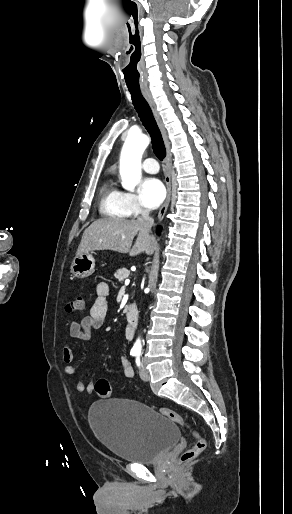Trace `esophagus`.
Instances as JSON below:
<instances>
[{"instance_id":"esophagus-1","label":"esophagus","mask_w":292,"mask_h":514,"mask_svg":"<svg viewBox=\"0 0 292 514\" xmlns=\"http://www.w3.org/2000/svg\"><path fill=\"white\" fill-rule=\"evenodd\" d=\"M142 92V95L144 96V98L147 100L152 112H153V115L155 117V120L157 122V125L158 127L160 128L161 130V133H162V136H163V140H164V143H165V147H166V169H165V184H166V188H167V197H166V200L164 201V204L162 205V207L160 208L159 212H158V219L159 220H162L163 217L165 216L166 214V211L168 209V206H169V203H170V197H171V162H172V154H171V151H170V143L168 141V138H167V135H166V132H165V129H164V126H163V123H162V120L160 118V115L157 111V108H156V105H155V102L151 96V93L149 90H141Z\"/></svg>"}]
</instances>
